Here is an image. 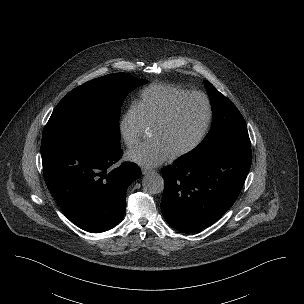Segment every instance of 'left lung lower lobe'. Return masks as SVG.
<instances>
[{
    "instance_id": "left-lung-lower-lobe-1",
    "label": "left lung lower lobe",
    "mask_w": 304,
    "mask_h": 304,
    "mask_svg": "<svg viewBox=\"0 0 304 304\" xmlns=\"http://www.w3.org/2000/svg\"><path fill=\"white\" fill-rule=\"evenodd\" d=\"M251 163V149L228 148L164 167L161 210L167 223L180 232L212 225L234 204Z\"/></svg>"
}]
</instances>
